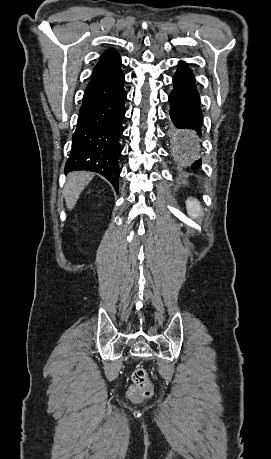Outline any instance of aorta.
I'll use <instances>...</instances> for the list:
<instances>
[{
    "label": "aorta",
    "instance_id": "1",
    "mask_svg": "<svg viewBox=\"0 0 271 459\" xmlns=\"http://www.w3.org/2000/svg\"><path fill=\"white\" fill-rule=\"evenodd\" d=\"M172 153L181 165L192 164L200 152V140L192 131L173 130L171 133Z\"/></svg>",
    "mask_w": 271,
    "mask_h": 459
}]
</instances>
